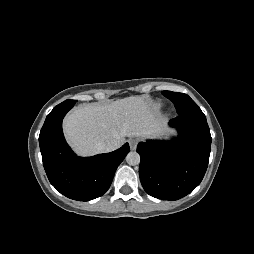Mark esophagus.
<instances>
[{
  "mask_svg": "<svg viewBox=\"0 0 254 254\" xmlns=\"http://www.w3.org/2000/svg\"><path fill=\"white\" fill-rule=\"evenodd\" d=\"M137 144H138V141L136 139H131L129 141L130 149L136 150Z\"/></svg>",
  "mask_w": 254,
  "mask_h": 254,
  "instance_id": "obj_1",
  "label": "esophagus"
}]
</instances>
